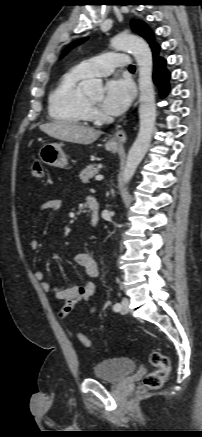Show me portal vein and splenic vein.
<instances>
[{
	"instance_id": "18ae733b",
	"label": "portal vein and splenic vein",
	"mask_w": 202,
	"mask_h": 437,
	"mask_svg": "<svg viewBox=\"0 0 202 437\" xmlns=\"http://www.w3.org/2000/svg\"><path fill=\"white\" fill-rule=\"evenodd\" d=\"M95 179L98 180V181H100V180L103 179V176H102V175H97V176L95 177Z\"/></svg>"
}]
</instances>
